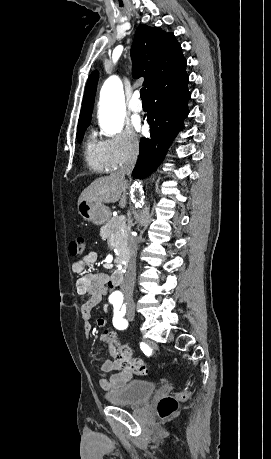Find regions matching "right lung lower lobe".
<instances>
[{
  "mask_svg": "<svg viewBox=\"0 0 271 459\" xmlns=\"http://www.w3.org/2000/svg\"><path fill=\"white\" fill-rule=\"evenodd\" d=\"M188 81L184 71L161 82L149 93L150 111L146 121L150 124L151 135L140 140L134 177L143 178L154 171L177 132L182 129L183 120L189 113L187 102L191 94L187 89Z\"/></svg>",
  "mask_w": 271,
  "mask_h": 459,
  "instance_id": "98d812e1",
  "label": "right lung lower lobe"
}]
</instances>
